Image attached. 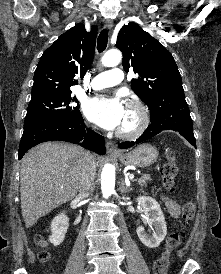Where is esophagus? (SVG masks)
<instances>
[{"mask_svg":"<svg viewBox=\"0 0 221 274\" xmlns=\"http://www.w3.org/2000/svg\"><path fill=\"white\" fill-rule=\"evenodd\" d=\"M105 27L107 29H111L113 27V21L111 19L105 20ZM106 149L109 154H119L120 153L116 144L111 141L106 142Z\"/></svg>","mask_w":221,"mask_h":274,"instance_id":"obj_1","label":"esophagus"}]
</instances>
